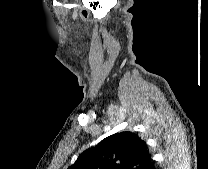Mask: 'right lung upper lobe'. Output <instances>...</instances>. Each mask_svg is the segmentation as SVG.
Here are the masks:
<instances>
[{
  "instance_id": "cb5924a9",
  "label": "right lung upper lobe",
  "mask_w": 208,
  "mask_h": 169,
  "mask_svg": "<svg viewBox=\"0 0 208 169\" xmlns=\"http://www.w3.org/2000/svg\"><path fill=\"white\" fill-rule=\"evenodd\" d=\"M151 162L146 142L126 131L85 150L68 169H146Z\"/></svg>"
}]
</instances>
